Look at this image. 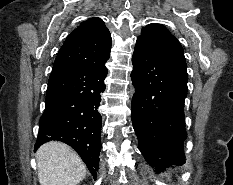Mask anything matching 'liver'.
I'll return each instance as SVG.
<instances>
[{"instance_id":"6515ba94","label":"liver","mask_w":233,"mask_h":185,"mask_svg":"<svg viewBox=\"0 0 233 185\" xmlns=\"http://www.w3.org/2000/svg\"><path fill=\"white\" fill-rule=\"evenodd\" d=\"M36 159L41 185H77L86 176L87 168L79 155L62 142L43 144Z\"/></svg>"}]
</instances>
